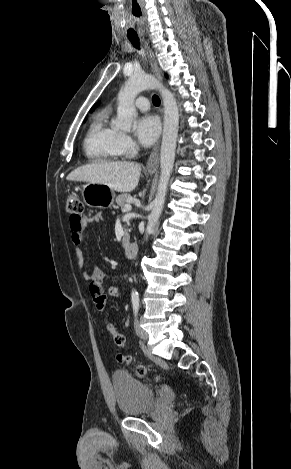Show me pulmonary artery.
I'll return each mask as SVG.
<instances>
[{
  "mask_svg": "<svg viewBox=\"0 0 291 469\" xmlns=\"http://www.w3.org/2000/svg\"><path fill=\"white\" fill-rule=\"evenodd\" d=\"M135 106L140 110H148L149 101L146 97L140 96L135 100Z\"/></svg>",
  "mask_w": 291,
  "mask_h": 469,
  "instance_id": "pulmonary-artery-1",
  "label": "pulmonary artery"
}]
</instances>
